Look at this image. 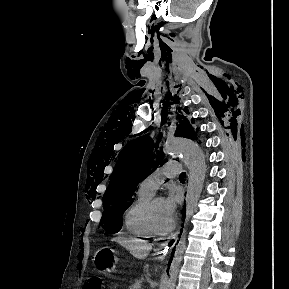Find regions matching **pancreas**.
I'll return each instance as SVG.
<instances>
[{
    "label": "pancreas",
    "instance_id": "obj_1",
    "mask_svg": "<svg viewBox=\"0 0 289 289\" xmlns=\"http://www.w3.org/2000/svg\"><path fill=\"white\" fill-rule=\"evenodd\" d=\"M142 282H143L142 279L136 280V281L129 287V289H141Z\"/></svg>",
    "mask_w": 289,
    "mask_h": 289
}]
</instances>
